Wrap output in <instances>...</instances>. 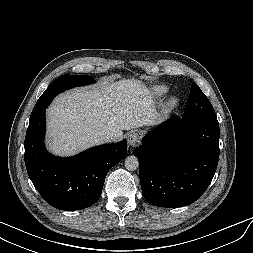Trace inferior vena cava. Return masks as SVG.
I'll return each instance as SVG.
<instances>
[{"instance_id":"602c4592","label":"inferior vena cava","mask_w":253,"mask_h":253,"mask_svg":"<svg viewBox=\"0 0 253 253\" xmlns=\"http://www.w3.org/2000/svg\"><path fill=\"white\" fill-rule=\"evenodd\" d=\"M99 138L102 142H109L114 140L115 136L109 131H101L99 132Z\"/></svg>"}]
</instances>
